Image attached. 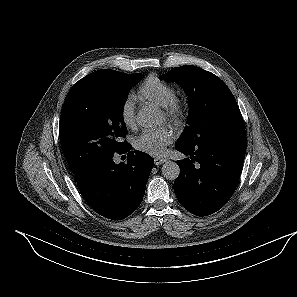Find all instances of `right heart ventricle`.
<instances>
[{"label":"right heart ventricle","instance_id":"obj_1","mask_svg":"<svg viewBox=\"0 0 297 297\" xmlns=\"http://www.w3.org/2000/svg\"><path fill=\"white\" fill-rule=\"evenodd\" d=\"M138 96L161 107L167 106L176 98L174 88L157 76L151 75L138 88Z\"/></svg>","mask_w":297,"mask_h":297}]
</instances>
